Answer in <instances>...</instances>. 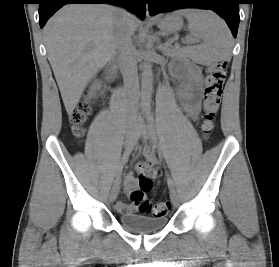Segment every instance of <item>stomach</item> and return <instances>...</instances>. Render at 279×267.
<instances>
[{
	"mask_svg": "<svg viewBox=\"0 0 279 267\" xmlns=\"http://www.w3.org/2000/svg\"><path fill=\"white\" fill-rule=\"evenodd\" d=\"M157 25L165 34L175 33L183 26V19L176 13H171L165 17L158 19Z\"/></svg>",
	"mask_w": 279,
	"mask_h": 267,
	"instance_id": "stomach-1",
	"label": "stomach"
}]
</instances>
